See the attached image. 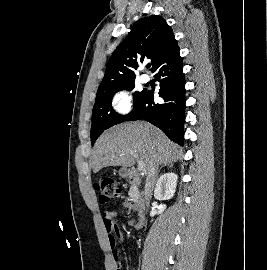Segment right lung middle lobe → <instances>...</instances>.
<instances>
[{"label":"right lung middle lobe","mask_w":267,"mask_h":270,"mask_svg":"<svg viewBox=\"0 0 267 270\" xmlns=\"http://www.w3.org/2000/svg\"><path fill=\"white\" fill-rule=\"evenodd\" d=\"M134 86V81H130L97 92L92 112L91 144H94L96 139L103 133L104 130L116 124L122 123L126 119L128 115H119L112 110L111 100L117 91H131ZM145 92L146 89L141 92L134 93V106L139 102Z\"/></svg>","instance_id":"dd1d6c3e"}]
</instances>
